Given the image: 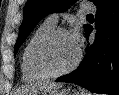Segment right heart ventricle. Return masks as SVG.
<instances>
[{
    "instance_id": "e07e8e85",
    "label": "right heart ventricle",
    "mask_w": 119,
    "mask_h": 95,
    "mask_svg": "<svg viewBox=\"0 0 119 95\" xmlns=\"http://www.w3.org/2000/svg\"><path fill=\"white\" fill-rule=\"evenodd\" d=\"M56 24L45 20L31 34L21 54V71L23 80L27 82L42 81L48 77L44 75L35 65L34 52L39 41L55 28Z\"/></svg>"
}]
</instances>
